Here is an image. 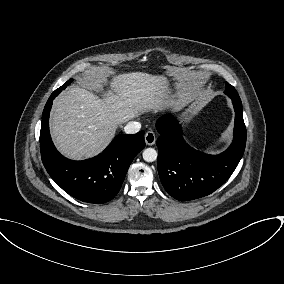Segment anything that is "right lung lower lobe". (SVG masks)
Instances as JSON below:
<instances>
[{"label":"right lung lower lobe","mask_w":284,"mask_h":284,"mask_svg":"<svg viewBox=\"0 0 284 284\" xmlns=\"http://www.w3.org/2000/svg\"><path fill=\"white\" fill-rule=\"evenodd\" d=\"M48 99L41 123L40 150L42 162L51 178L72 197L88 203H105L116 196L134 157L145 147L144 131L119 135L98 156L73 161L54 147L49 133L52 101Z\"/></svg>","instance_id":"obj_1"}]
</instances>
